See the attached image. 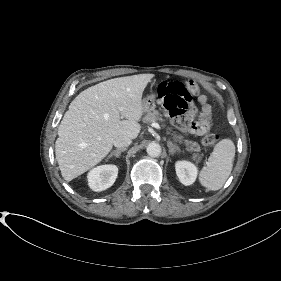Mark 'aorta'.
<instances>
[{
  "instance_id": "1",
  "label": "aorta",
  "mask_w": 281,
  "mask_h": 281,
  "mask_svg": "<svg viewBox=\"0 0 281 281\" xmlns=\"http://www.w3.org/2000/svg\"><path fill=\"white\" fill-rule=\"evenodd\" d=\"M147 154L151 157H158L161 152V146L158 143L152 142L146 148Z\"/></svg>"
}]
</instances>
